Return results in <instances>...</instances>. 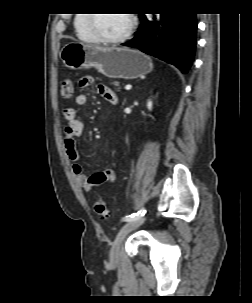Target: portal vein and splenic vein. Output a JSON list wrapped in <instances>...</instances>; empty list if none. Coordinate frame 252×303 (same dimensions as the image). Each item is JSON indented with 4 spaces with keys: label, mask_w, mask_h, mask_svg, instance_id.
<instances>
[{
    "label": "portal vein and splenic vein",
    "mask_w": 252,
    "mask_h": 303,
    "mask_svg": "<svg viewBox=\"0 0 252 303\" xmlns=\"http://www.w3.org/2000/svg\"><path fill=\"white\" fill-rule=\"evenodd\" d=\"M131 87H132L131 85H126V86H125V90H130Z\"/></svg>",
    "instance_id": "18ae733b"
}]
</instances>
